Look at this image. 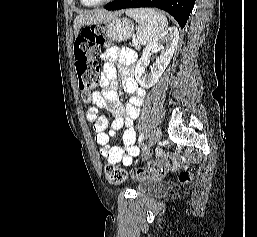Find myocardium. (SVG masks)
<instances>
[{
    "mask_svg": "<svg viewBox=\"0 0 257 237\" xmlns=\"http://www.w3.org/2000/svg\"><path fill=\"white\" fill-rule=\"evenodd\" d=\"M113 0H102L99 2H94V3H88L85 0H81V2L85 5V6H89V7H93V6H100V5H104L107 3L112 2Z\"/></svg>",
    "mask_w": 257,
    "mask_h": 237,
    "instance_id": "obj_1",
    "label": "myocardium"
}]
</instances>
